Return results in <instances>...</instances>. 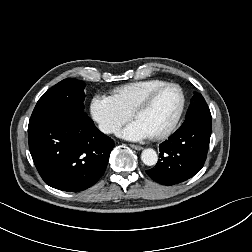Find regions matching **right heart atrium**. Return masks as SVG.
I'll return each instance as SVG.
<instances>
[{"label": "right heart atrium", "instance_id": "d8ad5b80", "mask_svg": "<svg viewBox=\"0 0 252 252\" xmlns=\"http://www.w3.org/2000/svg\"><path fill=\"white\" fill-rule=\"evenodd\" d=\"M90 115L99 129L115 134L127 123L132 113L121 107L111 96L95 94L89 104Z\"/></svg>", "mask_w": 252, "mask_h": 252}]
</instances>
